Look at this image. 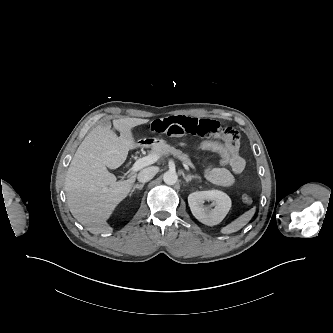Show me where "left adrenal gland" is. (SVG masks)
Instances as JSON below:
<instances>
[{
    "mask_svg": "<svg viewBox=\"0 0 333 333\" xmlns=\"http://www.w3.org/2000/svg\"><path fill=\"white\" fill-rule=\"evenodd\" d=\"M183 178L185 179V181L188 183L189 181H191L193 178H197V179H201L200 176L197 175H184L183 174Z\"/></svg>",
    "mask_w": 333,
    "mask_h": 333,
    "instance_id": "left-adrenal-gland-1",
    "label": "left adrenal gland"
}]
</instances>
